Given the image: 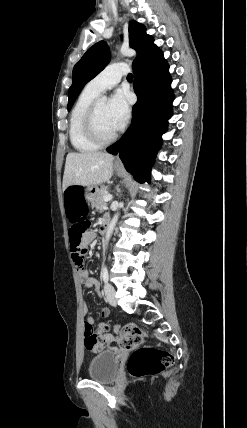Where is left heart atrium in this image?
I'll use <instances>...</instances> for the list:
<instances>
[{
	"instance_id": "left-heart-atrium-1",
	"label": "left heart atrium",
	"mask_w": 247,
	"mask_h": 428,
	"mask_svg": "<svg viewBox=\"0 0 247 428\" xmlns=\"http://www.w3.org/2000/svg\"><path fill=\"white\" fill-rule=\"evenodd\" d=\"M107 115L114 128H122L129 117V103L124 91L118 90L107 103Z\"/></svg>"
}]
</instances>
